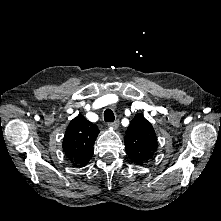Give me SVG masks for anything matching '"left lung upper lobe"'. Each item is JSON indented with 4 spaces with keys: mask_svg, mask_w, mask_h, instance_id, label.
Instances as JSON below:
<instances>
[{
    "mask_svg": "<svg viewBox=\"0 0 221 221\" xmlns=\"http://www.w3.org/2000/svg\"><path fill=\"white\" fill-rule=\"evenodd\" d=\"M154 128L142 114H136L127 128L125 148L127 155L137 164L149 161L157 151Z\"/></svg>",
    "mask_w": 221,
    "mask_h": 221,
    "instance_id": "obj_1",
    "label": "left lung upper lobe"
}]
</instances>
